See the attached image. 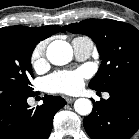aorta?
I'll return each mask as SVG.
<instances>
[{"mask_svg": "<svg viewBox=\"0 0 139 139\" xmlns=\"http://www.w3.org/2000/svg\"><path fill=\"white\" fill-rule=\"evenodd\" d=\"M46 55L52 64L65 65L71 61L73 50L71 45L66 41L56 40L48 45ZM92 108V102L86 98H79L74 103L75 111L83 116L89 115Z\"/></svg>", "mask_w": 139, "mask_h": 139, "instance_id": "obj_1", "label": "aorta"}]
</instances>
